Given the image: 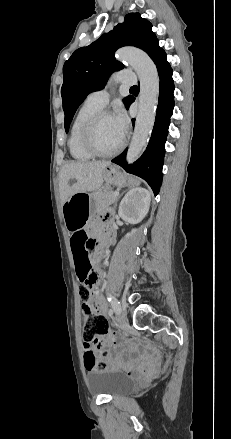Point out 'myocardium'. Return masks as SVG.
Wrapping results in <instances>:
<instances>
[{
    "label": "myocardium",
    "mask_w": 231,
    "mask_h": 439,
    "mask_svg": "<svg viewBox=\"0 0 231 439\" xmlns=\"http://www.w3.org/2000/svg\"><path fill=\"white\" fill-rule=\"evenodd\" d=\"M105 116H111L108 110L100 109L95 112L84 124L81 131V142L84 148L95 157L108 158L117 155L125 145L124 139L121 143L110 151L100 150L94 141V132L98 122Z\"/></svg>",
    "instance_id": "1"
}]
</instances>
